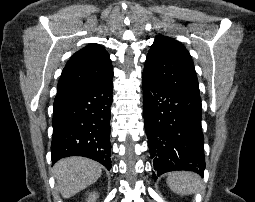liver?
Here are the masks:
<instances>
[{"label":"liver","instance_id":"1","mask_svg":"<svg viewBox=\"0 0 255 202\" xmlns=\"http://www.w3.org/2000/svg\"><path fill=\"white\" fill-rule=\"evenodd\" d=\"M101 174L102 166L84 157H67L54 165V176L64 198H70L95 183Z\"/></svg>","mask_w":255,"mask_h":202}]
</instances>
